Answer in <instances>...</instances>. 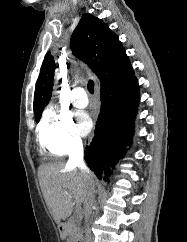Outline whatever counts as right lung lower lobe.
<instances>
[{"label": "right lung lower lobe", "instance_id": "98d812e1", "mask_svg": "<svg viewBox=\"0 0 187 242\" xmlns=\"http://www.w3.org/2000/svg\"><path fill=\"white\" fill-rule=\"evenodd\" d=\"M101 110L95 137L86 146L84 159L94 174L101 179L125 154L130 144L134 119L138 111L140 91L134 73L100 90Z\"/></svg>", "mask_w": 187, "mask_h": 242}]
</instances>
